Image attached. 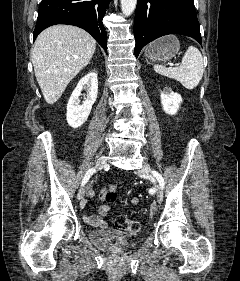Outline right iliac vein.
<instances>
[{"label":"right iliac vein","mask_w":240,"mask_h":281,"mask_svg":"<svg viewBox=\"0 0 240 281\" xmlns=\"http://www.w3.org/2000/svg\"><path fill=\"white\" fill-rule=\"evenodd\" d=\"M106 161L107 158L105 156L100 157L96 162V168L101 169L106 164ZM87 189H88V185H83V187L79 190L77 194L78 200H81L84 197Z\"/></svg>","instance_id":"right-iliac-vein-1"}]
</instances>
